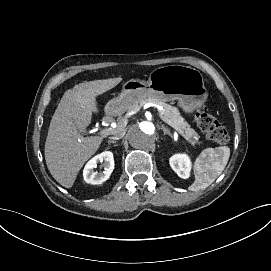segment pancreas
Here are the masks:
<instances>
[{
	"label": "pancreas",
	"instance_id": "1",
	"mask_svg": "<svg viewBox=\"0 0 271 271\" xmlns=\"http://www.w3.org/2000/svg\"><path fill=\"white\" fill-rule=\"evenodd\" d=\"M156 101L160 106L163 107V110L159 111V114L164 116L165 118H167L171 122H173L174 125H175L174 127L178 126L184 132V134L188 137V139L193 142L192 144L194 145L197 141L193 140L192 138H193V136H196L197 133L184 120V118L180 115L177 108H174V107H172V106H170V105H168V104H166L164 102H161L159 100H156ZM149 102H152V100H149ZM126 121H127L126 118L121 119L120 124L124 126Z\"/></svg>",
	"mask_w": 271,
	"mask_h": 271
}]
</instances>
